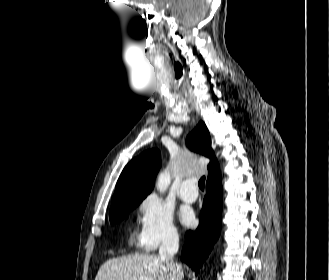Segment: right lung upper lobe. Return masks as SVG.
I'll return each instance as SVG.
<instances>
[{
  "label": "right lung upper lobe",
  "mask_w": 329,
  "mask_h": 280,
  "mask_svg": "<svg viewBox=\"0 0 329 280\" xmlns=\"http://www.w3.org/2000/svg\"><path fill=\"white\" fill-rule=\"evenodd\" d=\"M186 142L191 150L210 158L208 179L219 171L218 161L212 155L209 131L204 122H199ZM160 166L161 156L158 149L147 150L128 163L117 181L110 210L126 200L144 199L153 189Z\"/></svg>",
  "instance_id": "cb5924a9"
}]
</instances>
